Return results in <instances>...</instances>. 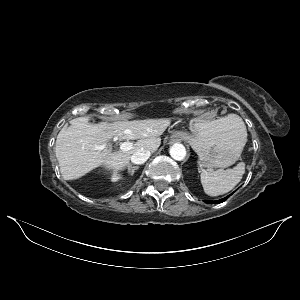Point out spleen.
Here are the masks:
<instances>
[{"label":"spleen","instance_id":"3e777b00","mask_svg":"<svg viewBox=\"0 0 300 300\" xmlns=\"http://www.w3.org/2000/svg\"><path fill=\"white\" fill-rule=\"evenodd\" d=\"M227 119L234 122L235 127L243 134L244 144L247 142L246 126L242 118L236 114H229ZM245 173V163L240 162L232 169L213 171L204 170L201 175V183L206 194L219 196L232 190L242 179Z\"/></svg>","mask_w":300,"mask_h":300}]
</instances>
